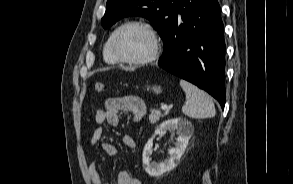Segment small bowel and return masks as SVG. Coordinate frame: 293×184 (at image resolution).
<instances>
[{"label":"small bowel","mask_w":293,"mask_h":184,"mask_svg":"<svg viewBox=\"0 0 293 184\" xmlns=\"http://www.w3.org/2000/svg\"><path fill=\"white\" fill-rule=\"evenodd\" d=\"M128 113L133 122H140L146 114V105L142 99L135 96L109 98L105 101V107L95 113V123L91 139L87 145L89 150L93 145L102 141L104 135V126H117L120 121V115ZM123 143L128 148H135L136 143L131 135L123 136ZM101 148L108 156H114L117 153L116 147L107 141L101 143ZM88 173L93 184H109L105 182L98 171L97 163L92 160L88 165ZM116 184H142L140 179L130 174L128 171H121L117 177Z\"/></svg>","instance_id":"c3829d8e"}]
</instances>
